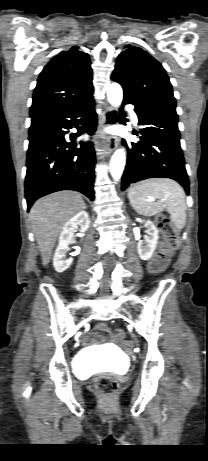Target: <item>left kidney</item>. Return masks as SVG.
Masks as SVG:
<instances>
[{
  "label": "left kidney",
  "instance_id": "1",
  "mask_svg": "<svg viewBox=\"0 0 208 461\" xmlns=\"http://www.w3.org/2000/svg\"><path fill=\"white\" fill-rule=\"evenodd\" d=\"M146 235L144 236V241H139L137 243V251L139 257L142 260H149L157 246L158 241V230L154 223L151 220L145 222Z\"/></svg>",
  "mask_w": 208,
  "mask_h": 461
}]
</instances>
